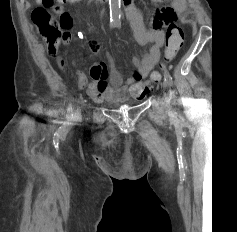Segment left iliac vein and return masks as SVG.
Returning <instances> with one entry per match:
<instances>
[{"label": "left iliac vein", "instance_id": "obj_1", "mask_svg": "<svg viewBox=\"0 0 237 232\" xmlns=\"http://www.w3.org/2000/svg\"><path fill=\"white\" fill-rule=\"evenodd\" d=\"M169 82L167 80L163 81V88L167 91L165 94V101H166V105L167 108H170V103H171V99H172V93L171 90L169 89Z\"/></svg>", "mask_w": 237, "mask_h": 232}]
</instances>
